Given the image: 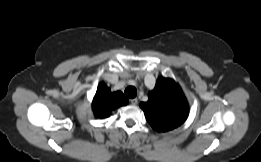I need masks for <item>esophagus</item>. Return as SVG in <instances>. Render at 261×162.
Here are the masks:
<instances>
[{
  "instance_id": "1",
  "label": "esophagus",
  "mask_w": 261,
  "mask_h": 162,
  "mask_svg": "<svg viewBox=\"0 0 261 162\" xmlns=\"http://www.w3.org/2000/svg\"><path fill=\"white\" fill-rule=\"evenodd\" d=\"M130 102L132 105H136L138 103V99L137 98L131 99Z\"/></svg>"
}]
</instances>
